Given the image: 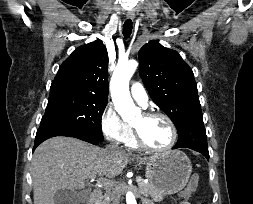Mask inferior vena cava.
<instances>
[{"label": "inferior vena cava", "mask_w": 253, "mask_h": 204, "mask_svg": "<svg viewBox=\"0 0 253 204\" xmlns=\"http://www.w3.org/2000/svg\"><path fill=\"white\" fill-rule=\"evenodd\" d=\"M108 148L111 150H118V145L117 144H110L108 146ZM109 194H110V200H111L112 204H119V200H120L119 195L116 194L115 192H112Z\"/></svg>", "instance_id": "inferior-vena-cava-1"}]
</instances>
